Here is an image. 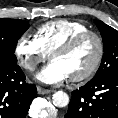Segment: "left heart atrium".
<instances>
[{"instance_id": "left-heart-atrium-1", "label": "left heart atrium", "mask_w": 118, "mask_h": 118, "mask_svg": "<svg viewBox=\"0 0 118 118\" xmlns=\"http://www.w3.org/2000/svg\"><path fill=\"white\" fill-rule=\"evenodd\" d=\"M68 77L67 71L57 62H51L36 75V78L45 84H59Z\"/></svg>"}]
</instances>
